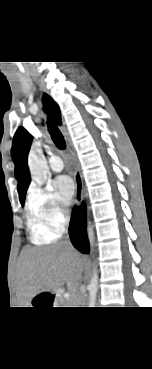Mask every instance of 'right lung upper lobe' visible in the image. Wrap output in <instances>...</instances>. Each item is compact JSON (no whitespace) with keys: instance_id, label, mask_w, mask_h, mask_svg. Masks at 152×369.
<instances>
[{"instance_id":"obj_1","label":"right lung upper lobe","mask_w":152,"mask_h":369,"mask_svg":"<svg viewBox=\"0 0 152 369\" xmlns=\"http://www.w3.org/2000/svg\"><path fill=\"white\" fill-rule=\"evenodd\" d=\"M43 104L45 110L60 124V109L54 100L45 94L43 97ZM31 142L32 136L25 130V128H18L13 138L11 154L15 164V176L18 180L17 190L20 202H24L25 194L31 181L27 165V156Z\"/></svg>"}]
</instances>
